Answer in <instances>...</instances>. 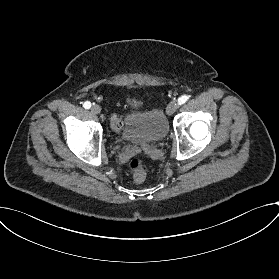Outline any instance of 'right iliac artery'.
<instances>
[{"label":"right iliac artery","mask_w":279,"mask_h":279,"mask_svg":"<svg viewBox=\"0 0 279 279\" xmlns=\"http://www.w3.org/2000/svg\"><path fill=\"white\" fill-rule=\"evenodd\" d=\"M83 107L85 109H89L91 107V103L89 101H86L84 104H83Z\"/></svg>","instance_id":"1"}]
</instances>
